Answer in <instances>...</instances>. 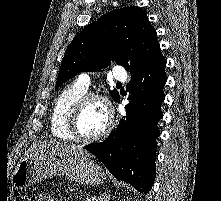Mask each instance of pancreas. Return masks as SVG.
Listing matches in <instances>:
<instances>
[{
    "instance_id": "cf45deb5",
    "label": "pancreas",
    "mask_w": 221,
    "mask_h": 201,
    "mask_svg": "<svg viewBox=\"0 0 221 201\" xmlns=\"http://www.w3.org/2000/svg\"><path fill=\"white\" fill-rule=\"evenodd\" d=\"M76 199H78L79 201H81V197H80V194L78 193H76ZM83 201H86V200H83Z\"/></svg>"
}]
</instances>
